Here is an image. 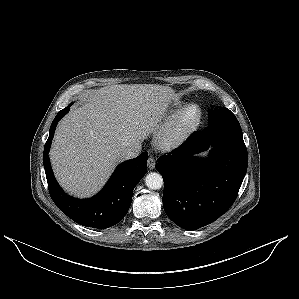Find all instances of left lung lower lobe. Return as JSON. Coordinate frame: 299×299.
<instances>
[{
  "instance_id": "obj_1",
  "label": "left lung lower lobe",
  "mask_w": 299,
  "mask_h": 299,
  "mask_svg": "<svg viewBox=\"0 0 299 299\" xmlns=\"http://www.w3.org/2000/svg\"><path fill=\"white\" fill-rule=\"evenodd\" d=\"M210 146L207 159L195 157ZM247 165L240 124L228 110L194 132L182 146L159 157L156 169L164 180L166 214L191 231L215 221L235 201Z\"/></svg>"
}]
</instances>
